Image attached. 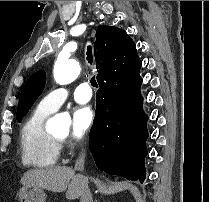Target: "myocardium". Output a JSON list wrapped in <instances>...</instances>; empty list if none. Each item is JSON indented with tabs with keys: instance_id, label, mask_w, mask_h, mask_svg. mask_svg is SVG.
<instances>
[{
	"instance_id": "f54148a6",
	"label": "myocardium",
	"mask_w": 209,
	"mask_h": 202,
	"mask_svg": "<svg viewBox=\"0 0 209 202\" xmlns=\"http://www.w3.org/2000/svg\"><path fill=\"white\" fill-rule=\"evenodd\" d=\"M55 140H56L58 143L62 142V139H61V138H58V137H55Z\"/></svg>"
}]
</instances>
